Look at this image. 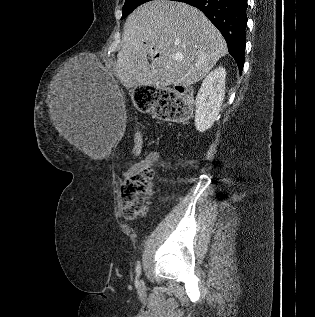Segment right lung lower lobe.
<instances>
[{
    "label": "right lung lower lobe",
    "mask_w": 315,
    "mask_h": 317,
    "mask_svg": "<svg viewBox=\"0 0 315 317\" xmlns=\"http://www.w3.org/2000/svg\"><path fill=\"white\" fill-rule=\"evenodd\" d=\"M200 9L225 38L228 51L240 74L244 65L246 44L247 0H175Z\"/></svg>",
    "instance_id": "98d812e1"
}]
</instances>
